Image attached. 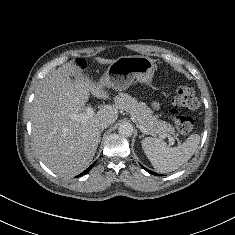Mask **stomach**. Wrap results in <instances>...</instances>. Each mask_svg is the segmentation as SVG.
<instances>
[{"label":"stomach","mask_w":235,"mask_h":235,"mask_svg":"<svg viewBox=\"0 0 235 235\" xmlns=\"http://www.w3.org/2000/svg\"><path fill=\"white\" fill-rule=\"evenodd\" d=\"M154 71V62L149 57L123 56L109 65L98 84L115 90L127 89L134 80L150 85Z\"/></svg>","instance_id":"1"}]
</instances>
